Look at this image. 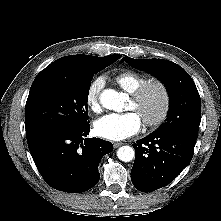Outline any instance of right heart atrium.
<instances>
[{
    "instance_id": "right-heart-atrium-1",
    "label": "right heart atrium",
    "mask_w": 221,
    "mask_h": 221,
    "mask_svg": "<svg viewBox=\"0 0 221 221\" xmlns=\"http://www.w3.org/2000/svg\"><path fill=\"white\" fill-rule=\"evenodd\" d=\"M104 79L101 77L95 78L90 82L86 90L85 101L88 108L94 112H99L101 109L100 95L104 87Z\"/></svg>"
}]
</instances>
